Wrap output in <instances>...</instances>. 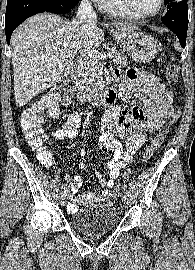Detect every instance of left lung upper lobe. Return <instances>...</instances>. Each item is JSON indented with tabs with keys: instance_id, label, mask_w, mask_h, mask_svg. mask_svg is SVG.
<instances>
[{
	"instance_id": "5c2ea615",
	"label": "left lung upper lobe",
	"mask_w": 195,
	"mask_h": 270,
	"mask_svg": "<svg viewBox=\"0 0 195 270\" xmlns=\"http://www.w3.org/2000/svg\"><path fill=\"white\" fill-rule=\"evenodd\" d=\"M173 1H180V0H164V3H165V5H166V4H168V3H170V2H173Z\"/></svg>"
}]
</instances>
